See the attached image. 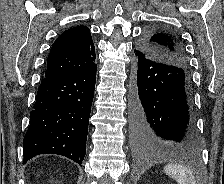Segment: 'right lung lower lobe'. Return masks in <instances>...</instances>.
Returning <instances> with one entry per match:
<instances>
[{
    "mask_svg": "<svg viewBox=\"0 0 224 184\" xmlns=\"http://www.w3.org/2000/svg\"><path fill=\"white\" fill-rule=\"evenodd\" d=\"M96 69L94 63L81 71L41 81L23 140V164L39 154H58L82 164Z\"/></svg>",
    "mask_w": 224,
    "mask_h": 184,
    "instance_id": "98d812e1",
    "label": "right lung lower lobe"
}]
</instances>
